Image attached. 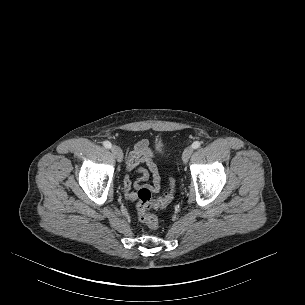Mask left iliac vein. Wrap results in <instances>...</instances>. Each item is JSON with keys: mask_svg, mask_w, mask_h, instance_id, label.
Instances as JSON below:
<instances>
[{"mask_svg": "<svg viewBox=\"0 0 305 305\" xmlns=\"http://www.w3.org/2000/svg\"><path fill=\"white\" fill-rule=\"evenodd\" d=\"M193 148L191 146H188L185 148L182 154V160L184 163L188 162L190 156L192 155Z\"/></svg>", "mask_w": 305, "mask_h": 305, "instance_id": "4c4485c4", "label": "left iliac vein"}]
</instances>
